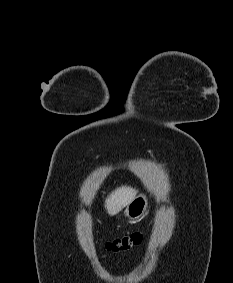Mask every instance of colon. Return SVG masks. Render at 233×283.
Masks as SVG:
<instances>
[{
  "label": "colon",
  "instance_id": "colon-1",
  "mask_svg": "<svg viewBox=\"0 0 233 283\" xmlns=\"http://www.w3.org/2000/svg\"><path fill=\"white\" fill-rule=\"evenodd\" d=\"M144 237L143 232H134L130 235L115 239L106 244V248L111 251L128 250L141 243Z\"/></svg>",
  "mask_w": 233,
  "mask_h": 283
}]
</instances>
